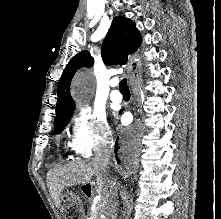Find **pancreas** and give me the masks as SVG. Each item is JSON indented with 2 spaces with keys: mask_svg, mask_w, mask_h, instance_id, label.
I'll return each mask as SVG.
<instances>
[{
  "mask_svg": "<svg viewBox=\"0 0 221 219\" xmlns=\"http://www.w3.org/2000/svg\"><path fill=\"white\" fill-rule=\"evenodd\" d=\"M88 219H100L98 210L96 209L95 211H91L90 218Z\"/></svg>",
  "mask_w": 221,
  "mask_h": 219,
  "instance_id": "pancreas-1",
  "label": "pancreas"
}]
</instances>
